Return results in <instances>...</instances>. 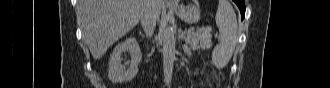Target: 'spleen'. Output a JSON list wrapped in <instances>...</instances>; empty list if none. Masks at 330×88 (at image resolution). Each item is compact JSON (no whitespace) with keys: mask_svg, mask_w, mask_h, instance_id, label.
I'll return each instance as SVG.
<instances>
[{"mask_svg":"<svg viewBox=\"0 0 330 88\" xmlns=\"http://www.w3.org/2000/svg\"><path fill=\"white\" fill-rule=\"evenodd\" d=\"M215 21L220 42L212 52V62L217 68H223L229 63L239 37L236 14L228 0L219 1Z\"/></svg>","mask_w":330,"mask_h":88,"instance_id":"obj_1","label":"spleen"}]
</instances>
